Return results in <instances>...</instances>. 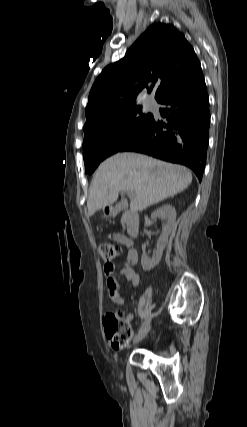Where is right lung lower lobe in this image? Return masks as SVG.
<instances>
[{
    "label": "right lung lower lobe",
    "instance_id": "obj_1",
    "mask_svg": "<svg viewBox=\"0 0 247 427\" xmlns=\"http://www.w3.org/2000/svg\"><path fill=\"white\" fill-rule=\"evenodd\" d=\"M166 122L153 117L145 131L121 151H133L190 167L199 181L209 143V98L202 70L158 101Z\"/></svg>",
    "mask_w": 247,
    "mask_h": 427
}]
</instances>
